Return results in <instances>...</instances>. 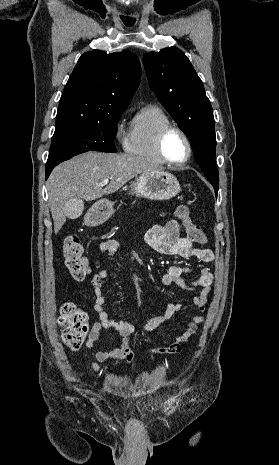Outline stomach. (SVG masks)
I'll return each mask as SVG.
<instances>
[{"instance_id": "1", "label": "stomach", "mask_w": 279, "mask_h": 465, "mask_svg": "<svg viewBox=\"0 0 279 465\" xmlns=\"http://www.w3.org/2000/svg\"><path fill=\"white\" fill-rule=\"evenodd\" d=\"M181 191L177 178L168 172L156 171L143 173L133 183L131 194L150 200H168ZM114 213V204L108 199L94 203L85 215V224L98 226Z\"/></svg>"}]
</instances>
